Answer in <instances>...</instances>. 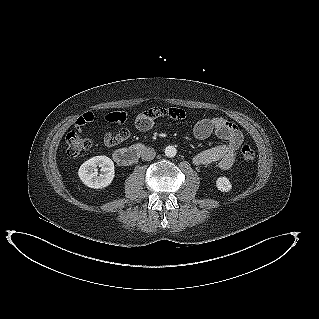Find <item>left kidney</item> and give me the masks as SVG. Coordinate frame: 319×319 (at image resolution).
I'll list each match as a JSON object with an SVG mask.
<instances>
[{"label": "left kidney", "mask_w": 319, "mask_h": 319, "mask_svg": "<svg viewBox=\"0 0 319 319\" xmlns=\"http://www.w3.org/2000/svg\"><path fill=\"white\" fill-rule=\"evenodd\" d=\"M216 186L221 192H228L232 188L229 179L226 177H219L216 181Z\"/></svg>", "instance_id": "5707ae66"}]
</instances>
